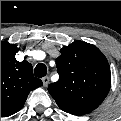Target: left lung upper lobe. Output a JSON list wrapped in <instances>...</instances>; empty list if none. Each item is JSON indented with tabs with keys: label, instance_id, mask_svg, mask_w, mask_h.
Returning a JSON list of instances; mask_svg holds the SVG:
<instances>
[{
	"label": "left lung upper lobe",
	"instance_id": "left-lung-upper-lobe-1",
	"mask_svg": "<svg viewBox=\"0 0 121 121\" xmlns=\"http://www.w3.org/2000/svg\"><path fill=\"white\" fill-rule=\"evenodd\" d=\"M56 66L59 80L51 83L48 91L62 110L80 115L103 102L110 90L111 73L96 46L82 41L64 46Z\"/></svg>",
	"mask_w": 121,
	"mask_h": 121
}]
</instances>
